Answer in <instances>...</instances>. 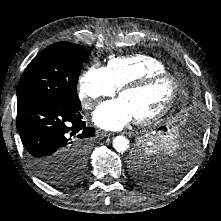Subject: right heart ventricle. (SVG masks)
Masks as SVG:
<instances>
[{
    "label": "right heart ventricle",
    "mask_w": 221,
    "mask_h": 221,
    "mask_svg": "<svg viewBox=\"0 0 221 221\" xmlns=\"http://www.w3.org/2000/svg\"><path fill=\"white\" fill-rule=\"evenodd\" d=\"M106 69L116 88L148 74L166 71L161 61L145 54L110 57Z\"/></svg>",
    "instance_id": "1"
}]
</instances>
